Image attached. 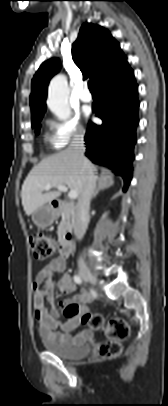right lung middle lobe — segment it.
<instances>
[{
  "label": "right lung middle lobe",
  "mask_w": 168,
  "mask_h": 406,
  "mask_svg": "<svg viewBox=\"0 0 168 406\" xmlns=\"http://www.w3.org/2000/svg\"><path fill=\"white\" fill-rule=\"evenodd\" d=\"M39 122H40V121H37V122H35V123H32V127H33V128L36 127V130H35L36 135H38L39 130H40V126L38 125Z\"/></svg>",
  "instance_id": "1"
}]
</instances>
